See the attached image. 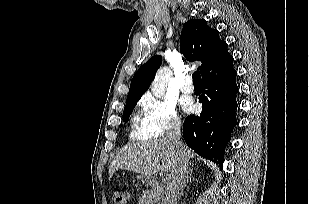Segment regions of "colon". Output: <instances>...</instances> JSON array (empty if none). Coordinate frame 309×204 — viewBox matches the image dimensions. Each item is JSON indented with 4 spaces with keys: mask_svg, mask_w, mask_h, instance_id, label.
I'll list each match as a JSON object with an SVG mask.
<instances>
[{
    "mask_svg": "<svg viewBox=\"0 0 309 204\" xmlns=\"http://www.w3.org/2000/svg\"><path fill=\"white\" fill-rule=\"evenodd\" d=\"M114 204H127L129 193L126 190L116 189L113 191Z\"/></svg>",
    "mask_w": 309,
    "mask_h": 204,
    "instance_id": "colon-1",
    "label": "colon"
}]
</instances>
